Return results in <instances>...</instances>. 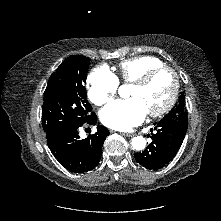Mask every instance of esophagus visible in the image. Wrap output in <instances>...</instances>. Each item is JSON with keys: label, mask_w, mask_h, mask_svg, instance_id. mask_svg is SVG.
<instances>
[{"label": "esophagus", "mask_w": 221, "mask_h": 221, "mask_svg": "<svg viewBox=\"0 0 221 221\" xmlns=\"http://www.w3.org/2000/svg\"><path fill=\"white\" fill-rule=\"evenodd\" d=\"M124 136H127V137H132L133 134L132 133H123Z\"/></svg>", "instance_id": "obj_1"}]
</instances>
